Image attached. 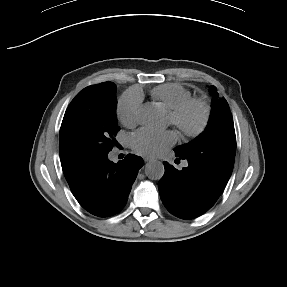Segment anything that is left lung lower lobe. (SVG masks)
I'll return each mask as SVG.
<instances>
[{
	"instance_id": "obj_1",
	"label": "left lung lower lobe",
	"mask_w": 287,
	"mask_h": 287,
	"mask_svg": "<svg viewBox=\"0 0 287 287\" xmlns=\"http://www.w3.org/2000/svg\"><path fill=\"white\" fill-rule=\"evenodd\" d=\"M180 159L185 157L176 154ZM188 161V166L178 171L164 162L165 173L158 182L161 200L167 210L182 219L196 218L217 201L225 185L212 180L209 170Z\"/></svg>"
}]
</instances>
